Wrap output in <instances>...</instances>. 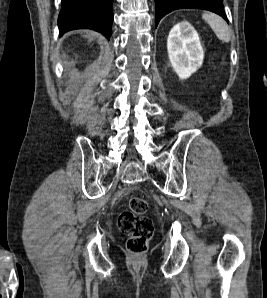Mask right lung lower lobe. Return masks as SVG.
<instances>
[{
    "label": "right lung lower lobe",
    "instance_id": "98d812e1",
    "mask_svg": "<svg viewBox=\"0 0 267 298\" xmlns=\"http://www.w3.org/2000/svg\"><path fill=\"white\" fill-rule=\"evenodd\" d=\"M112 3L113 0H62L58 17L60 36L71 30L87 28L109 39L113 23Z\"/></svg>",
    "mask_w": 267,
    "mask_h": 298
}]
</instances>
